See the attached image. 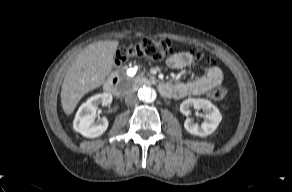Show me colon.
Masks as SVG:
<instances>
[{"label":"colon","mask_w":292,"mask_h":192,"mask_svg":"<svg viewBox=\"0 0 292 192\" xmlns=\"http://www.w3.org/2000/svg\"><path fill=\"white\" fill-rule=\"evenodd\" d=\"M172 53L171 42L167 39H143L140 42L120 49L117 53V64L129 58H146L152 61H161ZM195 62L214 63L211 57H206L199 49L190 51ZM208 97L215 102H223L227 95V89L221 83L211 88Z\"/></svg>","instance_id":"5ec220e1"}]
</instances>
